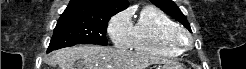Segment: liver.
Returning a JSON list of instances; mask_svg holds the SVG:
<instances>
[{"label":"liver","instance_id":"6515ba94","mask_svg":"<svg viewBox=\"0 0 246 69\" xmlns=\"http://www.w3.org/2000/svg\"><path fill=\"white\" fill-rule=\"evenodd\" d=\"M60 69H145L150 64L170 63L150 55L97 45H79L61 49L52 56Z\"/></svg>","mask_w":246,"mask_h":69}]
</instances>
